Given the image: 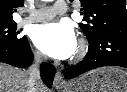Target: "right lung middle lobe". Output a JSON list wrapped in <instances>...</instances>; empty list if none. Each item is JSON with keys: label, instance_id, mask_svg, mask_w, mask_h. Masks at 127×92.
I'll use <instances>...</instances> for the list:
<instances>
[{"label": "right lung middle lobe", "instance_id": "obj_1", "mask_svg": "<svg viewBox=\"0 0 127 92\" xmlns=\"http://www.w3.org/2000/svg\"><path fill=\"white\" fill-rule=\"evenodd\" d=\"M16 28L17 24L15 22L0 24V42H7L16 45H21L26 42V36H18L20 32L16 31Z\"/></svg>", "mask_w": 127, "mask_h": 92}]
</instances>
